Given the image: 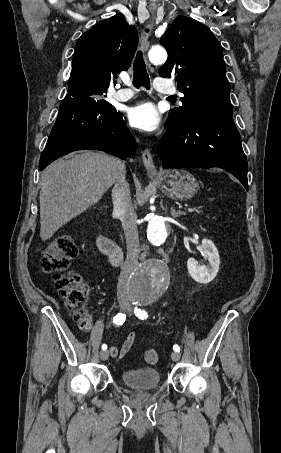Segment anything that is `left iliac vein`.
Here are the masks:
<instances>
[{"mask_svg": "<svg viewBox=\"0 0 281 453\" xmlns=\"http://www.w3.org/2000/svg\"><path fill=\"white\" fill-rule=\"evenodd\" d=\"M126 309H127V311H126L127 313L131 312V310H130L131 306L130 305H127ZM180 357H181L180 354H178L176 351H173L172 354H171V359H172L173 362H178Z\"/></svg>", "mask_w": 281, "mask_h": 453, "instance_id": "obj_1", "label": "left iliac vein"}]
</instances>
